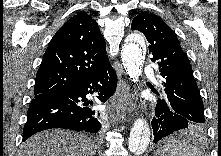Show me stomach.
<instances>
[{"mask_svg": "<svg viewBox=\"0 0 221 156\" xmlns=\"http://www.w3.org/2000/svg\"><path fill=\"white\" fill-rule=\"evenodd\" d=\"M165 154L166 153H165V151L163 150L162 147L156 151L157 156H166Z\"/></svg>", "mask_w": 221, "mask_h": 156, "instance_id": "stomach-1", "label": "stomach"}]
</instances>
